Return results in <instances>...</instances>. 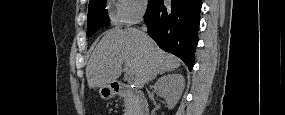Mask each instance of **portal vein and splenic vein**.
Masks as SVG:
<instances>
[{"label":"portal vein and splenic vein","instance_id":"obj_1","mask_svg":"<svg viewBox=\"0 0 285 115\" xmlns=\"http://www.w3.org/2000/svg\"><path fill=\"white\" fill-rule=\"evenodd\" d=\"M126 74L129 78H132V73L125 67Z\"/></svg>","mask_w":285,"mask_h":115}]
</instances>
